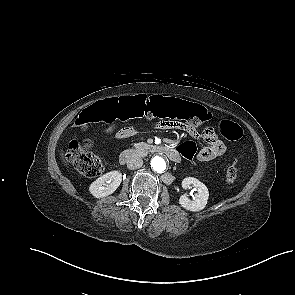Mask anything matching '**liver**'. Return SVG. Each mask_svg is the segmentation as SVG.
<instances>
[{"label": "liver", "instance_id": "liver-1", "mask_svg": "<svg viewBox=\"0 0 295 295\" xmlns=\"http://www.w3.org/2000/svg\"><path fill=\"white\" fill-rule=\"evenodd\" d=\"M62 156H63V153H62ZM63 158H65V159H63V160H64L65 165H67V163H68L67 158H66V157H63Z\"/></svg>", "mask_w": 295, "mask_h": 295}]
</instances>
